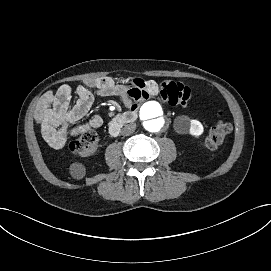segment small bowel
<instances>
[{
    "label": "small bowel",
    "mask_w": 271,
    "mask_h": 271,
    "mask_svg": "<svg viewBox=\"0 0 271 271\" xmlns=\"http://www.w3.org/2000/svg\"><path fill=\"white\" fill-rule=\"evenodd\" d=\"M77 100L70 106L72 88L65 84L55 91L46 92L38 101L35 117L46 142L55 149L65 146L69 137H76L102 125V118L93 115L83 124L72 126L83 119L90 110L95 95L119 96L127 107L148 99H159L171 106L185 107L191 97V89L181 82L141 78H125L118 81L110 76L87 78L76 88Z\"/></svg>",
    "instance_id": "small-bowel-1"
}]
</instances>
